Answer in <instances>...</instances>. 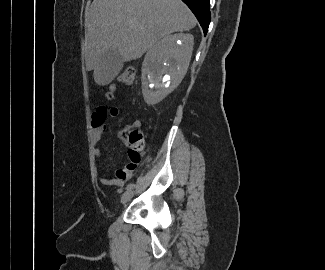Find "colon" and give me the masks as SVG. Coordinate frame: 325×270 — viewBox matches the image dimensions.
I'll return each mask as SVG.
<instances>
[{"label":"colon","mask_w":325,"mask_h":270,"mask_svg":"<svg viewBox=\"0 0 325 270\" xmlns=\"http://www.w3.org/2000/svg\"><path fill=\"white\" fill-rule=\"evenodd\" d=\"M136 77V68L133 66L127 67L118 77V81L124 85H131ZM115 85H111L107 93V98L114 97ZM123 135L129 140L131 144V153L128 163V168L133 169L137 166L140 160V152L144 142L143 134L138 130L126 129Z\"/></svg>","instance_id":"1"}]
</instances>
